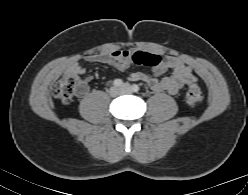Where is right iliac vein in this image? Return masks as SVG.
<instances>
[{
    "instance_id": "63e3f726",
    "label": "right iliac vein",
    "mask_w": 248,
    "mask_h": 195,
    "mask_svg": "<svg viewBox=\"0 0 248 195\" xmlns=\"http://www.w3.org/2000/svg\"><path fill=\"white\" fill-rule=\"evenodd\" d=\"M109 93L111 96L115 97L118 96L121 93V89L118 87H111L109 90Z\"/></svg>"
}]
</instances>
